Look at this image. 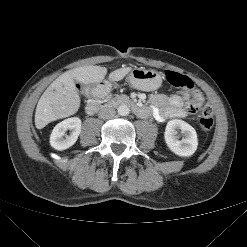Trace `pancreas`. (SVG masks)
Instances as JSON below:
<instances>
[{
	"mask_svg": "<svg viewBox=\"0 0 247 247\" xmlns=\"http://www.w3.org/2000/svg\"><path fill=\"white\" fill-rule=\"evenodd\" d=\"M125 100H127L128 98L127 97H124Z\"/></svg>",
	"mask_w": 247,
	"mask_h": 247,
	"instance_id": "1",
	"label": "pancreas"
}]
</instances>
